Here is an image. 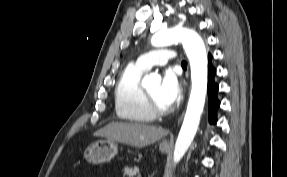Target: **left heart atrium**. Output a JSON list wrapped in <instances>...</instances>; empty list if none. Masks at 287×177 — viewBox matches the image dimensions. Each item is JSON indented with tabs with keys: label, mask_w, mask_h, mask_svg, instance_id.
I'll return each instance as SVG.
<instances>
[{
	"label": "left heart atrium",
	"mask_w": 287,
	"mask_h": 177,
	"mask_svg": "<svg viewBox=\"0 0 287 177\" xmlns=\"http://www.w3.org/2000/svg\"><path fill=\"white\" fill-rule=\"evenodd\" d=\"M181 85L173 70H167L164 73L161 83V97L172 106L180 97Z\"/></svg>",
	"instance_id": "39dd6f15"
}]
</instances>
